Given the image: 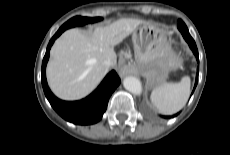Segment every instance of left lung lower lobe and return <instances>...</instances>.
I'll return each instance as SVG.
<instances>
[{"mask_svg":"<svg viewBox=\"0 0 230 155\" xmlns=\"http://www.w3.org/2000/svg\"><path fill=\"white\" fill-rule=\"evenodd\" d=\"M184 39L187 41V43L189 44L190 48L192 49L194 55L196 56L197 62L199 63V57H198V50H197V46L195 41L193 40V38L191 37L190 34H184L183 35ZM198 73H199V66L197 68V75H196V82H195V86L193 91L196 88L197 82H198ZM176 115H173L172 117H174ZM164 118H170L169 116H163Z\"/></svg>","mask_w":230,"mask_h":155,"instance_id":"1","label":"left lung lower lobe"}]
</instances>
